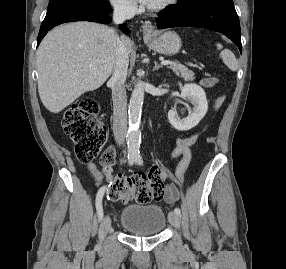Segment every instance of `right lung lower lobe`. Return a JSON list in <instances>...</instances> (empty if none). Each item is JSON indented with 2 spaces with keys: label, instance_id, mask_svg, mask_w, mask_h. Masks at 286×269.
I'll return each instance as SVG.
<instances>
[{
  "label": "right lung lower lobe",
  "instance_id": "1",
  "mask_svg": "<svg viewBox=\"0 0 286 269\" xmlns=\"http://www.w3.org/2000/svg\"><path fill=\"white\" fill-rule=\"evenodd\" d=\"M109 11L97 10L93 7L88 6H74L66 8L60 11H56L51 14H46L44 21L41 24L37 45L41 42L46 33L53 27L73 21H92L103 24H108L111 22V17L109 16ZM120 28L127 33L126 25H121Z\"/></svg>",
  "mask_w": 286,
  "mask_h": 269
}]
</instances>
